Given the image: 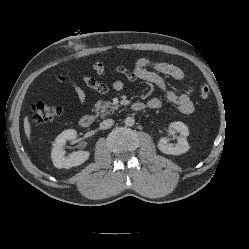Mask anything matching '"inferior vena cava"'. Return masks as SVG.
Instances as JSON below:
<instances>
[{
    "mask_svg": "<svg viewBox=\"0 0 249 249\" xmlns=\"http://www.w3.org/2000/svg\"><path fill=\"white\" fill-rule=\"evenodd\" d=\"M113 119H106L100 123V129H109L113 125Z\"/></svg>",
    "mask_w": 249,
    "mask_h": 249,
    "instance_id": "obj_1",
    "label": "inferior vena cava"
}]
</instances>
